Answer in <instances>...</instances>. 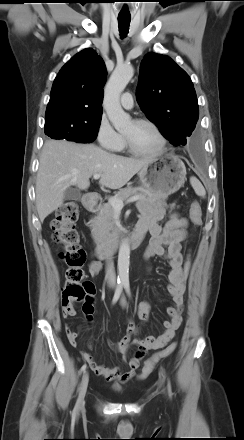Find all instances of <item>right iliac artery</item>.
<instances>
[{
  "label": "right iliac artery",
  "mask_w": 244,
  "mask_h": 440,
  "mask_svg": "<svg viewBox=\"0 0 244 440\" xmlns=\"http://www.w3.org/2000/svg\"><path fill=\"white\" fill-rule=\"evenodd\" d=\"M123 285H124V284H123L122 282H118V284H117V288H116V291H115L114 296H113V299H112V304H115V303L118 301V299H119V297H120V295H121V292H122V290H123ZM86 368H87V365L84 364V365L81 367V369H80V374H81L82 372H84V371L86 370ZM76 410H77V408L75 407L74 410H73V413H76Z\"/></svg>",
  "instance_id": "obj_1"
}]
</instances>
